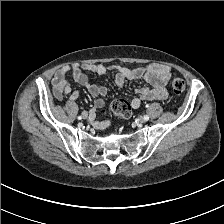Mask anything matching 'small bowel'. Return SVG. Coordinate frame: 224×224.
Here are the masks:
<instances>
[{
  "label": "small bowel",
  "mask_w": 224,
  "mask_h": 224,
  "mask_svg": "<svg viewBox=\"0 0 224 224\" xmlns=\"http://www.w3.org/2000/svg\"><path fill=\"white\" fill-rule=\"evenodd\" d=\"M69 71H72L74 81L88 90L94 98L95 109L99 108L107 94L105 86L89 81L85 71H90L96 75L103 76L108 71H115V83L117 86H123L127 80L143 79L149 86H143L136 89L137 96L130 101V107L137 109L145 100H165L167 99L166 85L171 75V68L162 64H150L144 67L127 68L122 66L107 67L103 64H75L72 67L63 66L54 75L52 79L53 93L57 99L70 96L72 100L79 97L77 91L71 90L70 80L67 77ZM92 110L91 115L94 114ZM103 126V125H101Z\"/></svg>",
  "instance_id": "1"
}]
</instances>
